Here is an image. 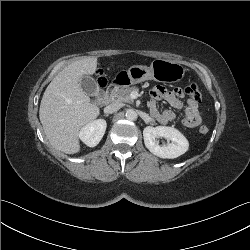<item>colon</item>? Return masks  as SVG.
Instances as JSON below:
<instances>
[{"label":"colon","mask_w":250,"mask_h":250,"mask_svg":"<svg viewBox=\"0 0 250 250\" xmlns=\"http://www.w3.org/2000/svg\"><path fill=\"white\" fill-rule=\"evenodd\" d=\"M101 83H103L102 77L99 78ZM186 95L194 102L198 103L201 100V92L196 84H190L185 88ZM200 133L207 134L209 129L207 126L203 125L199 129Z\"/></svg>","instance_id":"5ec220e1"}]
</instances>
